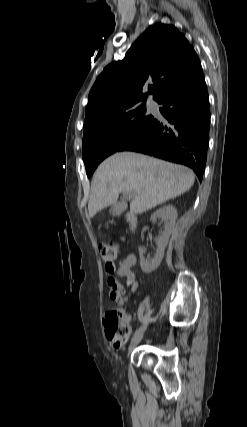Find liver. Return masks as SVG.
I'll use <instances>...</instances> for the list:
<instances>
[{"mask_svg":"<svg viewBox=\"0 0 247 427\" xmlns=\"http://www.w3.org/2000/svg\"><path fill=\"white\" fill-rule=\"evenodd\" d=\"M195 176L189 168L135 152H120L97 168L88 202L89 217L130 193V211L142 214L187 192Z\"/></svg>","mask_w":247,"mask_h":427,"instance_id":"6515ba94","label":"liver"}]
</instances>
